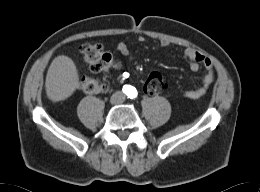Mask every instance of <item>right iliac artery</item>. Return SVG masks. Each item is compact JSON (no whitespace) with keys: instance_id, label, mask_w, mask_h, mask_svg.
Returning <instances> with one entry per match:
<instances>
[{"instance_id":"1","label":"right iliac artery","mask_w":260,"mask_h":192,"mask_svg":"<svg viewBox=\"0 0 260 192\" xmlns=\"http://www.w3.org/2000/svg\"><path fill=\"white\" fill-rule=\"evenodd\" d=\"M130 90H131V87L128 86V85H125V86L123 87V92H124L125 94H127V95L130 93Z\"/></svg>"}]
</instances>
